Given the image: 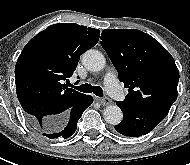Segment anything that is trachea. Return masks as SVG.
I'll return each instance as SVG.
<instances>
[{
	"label": "trachea",
	"mask_w": 190,
	"mask_h": 165,
	"mask_svg": "<svg viewBox=\"0 0 190 165\" xmlns=\"http://www.w3.org/2000/svg\"><path fill=\"white\" fill-rule=\"evenodd\" d=\"M74 88L83 93H94L96 96H103V90L100 86H92L91 84L86 83Z\"/></svg>",
	"instance_id": "1"
}]
</instances>
